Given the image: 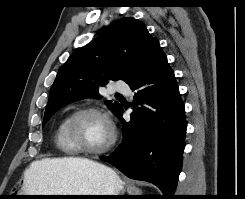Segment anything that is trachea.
<instances>
[{
	"mask_svg": "<svg viewBox=\"0 0 245 199\" xmlns=\"http://www.w3.org/2000/svg\"><path fill=\"white\" fill-rule=\"evenodd\" d=\"M117 96H121V94H116Z\"/></svg>",
	"mask_w": 245,
	"mask_h": 199,
	"instance_id": "1",
	"label": "trachea"
}]
</instances>
